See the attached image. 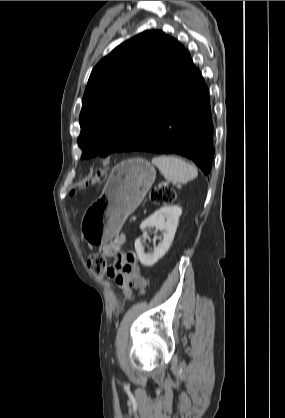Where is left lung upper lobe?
Here are the masks:
<instances>
[{
	"mask_svg": "<svg viewBox=\"0 0 285 418\" xmlns=\"http://www.w3.org/2000/svg\"><path fill=\"white\" fill-rule=\"evenodd\" d=\"M184 47L162 31L117 46L93 69L79 116L81 158L123 152L177 70Z\"/></svg>",
	"mask_w": 285,
	"mask_h": 418,
	"instance_id": "left-lung-upper-lobe-1",
	"label": "left lung upper lobe"
}]
</instances>
